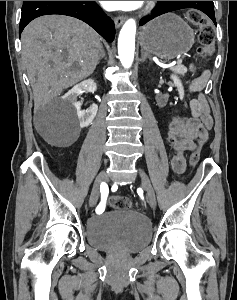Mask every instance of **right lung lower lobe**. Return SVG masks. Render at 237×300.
Listing matches in <instances>:
<instances>
[{
	"mask_svg": "<svg viewBox=\"0 0 237 300\" xmlns=\"http://www.w3.org/2000/svg\"><path fill=\"white\" fill-rule=\"evenodd\" d=\"M49 14L76 17L89 24L108 42L114 39V22L104 14L95 1H24L19 34L30 21Z\"/></svg>",
	"mask_w": 237,
	"mask_h": 300,
	"instance_id": "right-lung-lower-lobe-1",
	"label": "right lung lower lobe"
}]
</instances>
